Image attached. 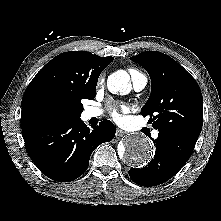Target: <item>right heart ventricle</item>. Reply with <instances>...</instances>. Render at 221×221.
<instances>
[{"mask_svg":"<svg viewBox=\"0 0 221 221\" xmlns=\"http://www.w3.org/2000/svg\"><path fill=\"white\" fill-rule=\"evenodd\" d=\"M130 74H131V77H133V76L138 75V74H141V73L138 72V71L135 70V69H131V70H130Z\"/></svg>","mask_w":221,"mask_h":221,"instance_id":"e07e8e85","label":"right heart ventricle"}]
</instances>
